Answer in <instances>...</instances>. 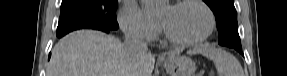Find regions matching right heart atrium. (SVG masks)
I'll list each match as a JSON object with an SVG mask.
<instances>
[{
	"label": "right heart atrium",
	"instance_id": "right-heart-atrium-1",
	"mask_svg": "<svg viewBox=\"0 0 287 76\" xmlns=\"http://www.w3.org/2000/svg\"><path fill=\"white\" fill-rule=\"evenodd\" d=\"M122 29L130 36L150 41L160 33V23L148 17L136 4L126 3L119 15Z\"/></svg>",
	"mask_w": 287,
	"mask_h": 76
}]
</instances>
